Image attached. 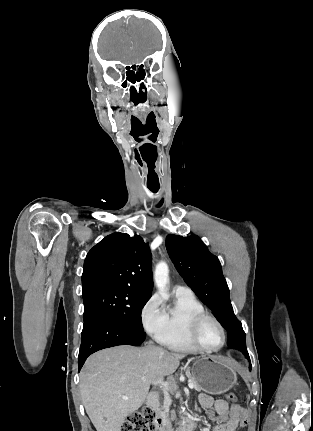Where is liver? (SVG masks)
Returning a JSON list of instances; mask_svg holds the SVG:
<instances>
[{
  "label": "liver",
  "mask_w": 313,
  "mask_h": 431,
  "mask_svg": "<svg viewBox=\"0 0 313 431\" xmlns=\"http://www.w3.org/2000/svg\"><path fill=\"white\" fill-rule=\"evenodd\" d=\"M184 357L156 346H116L91 355L79 388L96 430L121 431L126 417L144 403L150 386L173 374Z\"/></svg>",
  "instance_id": "1"
}]
</instances>
